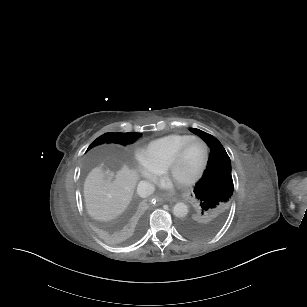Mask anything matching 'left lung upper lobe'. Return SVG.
Returning <instances> with one entry per match:
<instances>
[{
  "mask_svg": "<svg viewBox=\"0 0 307 307\" xmlns=\"http://www.w3.org/2000/svg\"><path fill=\"white\" fill-rule=\"evenodd\" d=\"M210 147L207 168L196 183V212L192 218L181 222V229L188 235L206 237L214 234L223 224L234 186L231 161L222 144L212 135L199 129H190Z\"/></svg>",
  "mask_w": 307,
  "mask_h": 307,
  "instance_id": "5c2ea615",
  "label": "left lung upper lobe"
}]
</instances>
